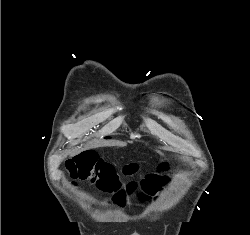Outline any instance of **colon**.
I'll use <instances>...</instances> for the list:
<instances>
[{"mask_svg":"<svg viewBox=\"0 0 250 235\" xmlns=\"http://www.w3.org/2000/svg\"><path fill=\"white\" fill-rule=\"evenodd\" d=\"M67 169L74 180L91 181L95 183L101 190L106 192H115L114 201L123 205L126 203L128 194L136 190L138 184L136 182H129L122 189L120 176L131 177L138 171V166L134 163L126 164L120 171L116 168L102 161L95 153H82L67 162ZM160 170H168L169 164L163 163L159 166ZM140 184L143 188H150L160 184L154 174H149L141 180Z\"/></svg>","mask_w":250,"mask_h":235,"instance_id":"colon-1","label":"colon"}]
</instances>
